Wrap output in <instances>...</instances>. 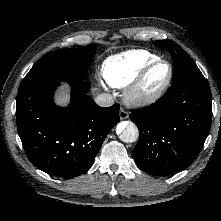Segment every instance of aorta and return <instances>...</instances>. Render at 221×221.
Here are the masks:
<instances>
[{
  "mask_svg": "<svg viewBox=\"0 0 221 221\" xmlns=\"http://www.w3.org/2000/svg\"><path fill=\"white\" fill-rule=\"evenodd\" d=\"M116 133L125 143H133L139 138V130L131 121H123L117 125Z\"/></svg>",
  "mask_w": 221,
  "mask_h": 221,
  "instance_id": "762f6f07",
  "label": "aorta"
}]
</instances>
